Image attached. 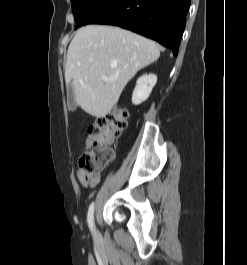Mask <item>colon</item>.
<instances>
[{
	"label": "colon",
	"mask_w": 247,
	"mask_h": 265,
	"mask_svg": "<svg viewBox=\"0 0 247 265\" xmlns=\"http://www.w3.org/2000/svg\"><path fill=\"white\" fill-rule=\"evenodd\" d=\"M127 119V110L117 107L89 127L86 148L79 161L86 174L98 175L113 159V145L126 128Z\"/></svg>",
	"instance_id": "5ec220e1"
}]
</instances>
